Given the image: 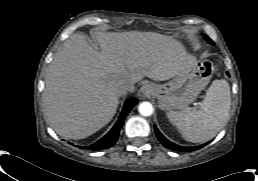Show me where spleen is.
<instances>
[{
    "instance_id": "1",
    "label": "spleen",
    "mask_w": 258,
    "mask_h": 181,
    "mask_svg": "<svg viewBox=\"0 0 258 181\" xmlns=\"http://www.w3.org/2000/svg\"><path fill=\"white\" fill-rule=\"evenodd\" d=\"M231 105L230 87L225 80H214L197 110L171 111L169 121L189 142L213 138L226 123Z\"/></svg>"
}]
</instances>
